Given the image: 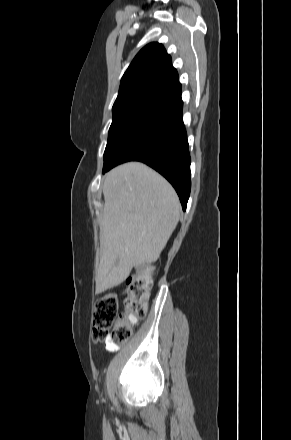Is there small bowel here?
I'll list each match as a JSON object with an SVG mask.
<instances>
[{"mask_svg":"<svg viewBox=\"0 0 291 440\" xmlns=\"http://www.w3.org/2000/svg\"><path fill=\"white\" fill-rule=\"evenodd\" d=\"M127 321L129 323H137L138 319L135 317H130L127 319ZM105 348L107 351L109 352H115L119 349V346L116 343L110 342V341H105Z\"/></svg>","mask_w":291,"mask_h":440,"instance_id":"obj_1","label":"small bowel"}]
</instances>
